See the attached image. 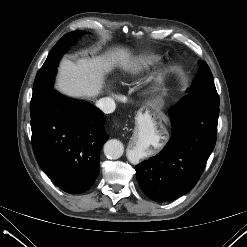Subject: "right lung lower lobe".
<instances>
[{
	"instance_id": "obj_1",
	"label": "right lung lower lobe",
	"mask_w": 247,
	"mask_h": 247,
	"mask_svg": "<svg viewBox=\"0 0 247 247\" xmlns=\"http://www.w3.org/2000/svg\"><path fill=\"white\" fill-rule=\"evenodd\" d=\"M104 114L54 89L31 116L32 147L47 176L63 191L88 190L99 174V156L108 135Z\"/></svg>"
}]
</instances>
